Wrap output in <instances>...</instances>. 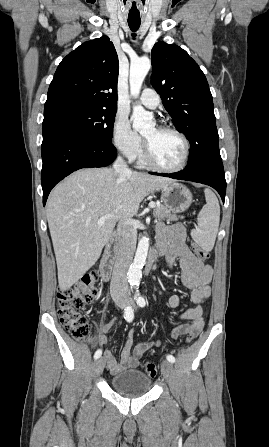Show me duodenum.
Returning a JSON list of instances; mask_svg holds the SVG:
<instances>
[{
    "instance_id": "1",
    "label": "duodenum",
    "mask_w": 269,
    "mask_h": 447,
    "mask_svg": "<svg viewBox=\"0 0 269 447\" xmlns=\"http://www.w3.org/2000/svg\"><path fill=\"white\" fill-rule=\"evenodd\" d=\"M118 247V236L115 235L111 238L106 246L104 255L100 264V275L105 281L109 280L114 268L116 252ZM161 252L154 249L150 252L145 264V273L148 274L154 267L155 262L159 258Z\"/></svg>"
}]
</instances>
